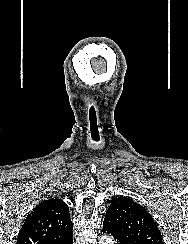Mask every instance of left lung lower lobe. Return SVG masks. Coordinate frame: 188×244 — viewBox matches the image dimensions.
<instances>
[{
	"instance_id": "0a47b994",
	"label": "left lung lower lobe",
	"mask_w": 188,
	"mask_h": 244,
	"mask_svg": "<svg viewBox=\"0 0 188 244\" xmlns=\"http://www.w3.org/2000/svg\"><path fill=\"white\" fill-rule=\"evenodd\" d=\"M103 233L111 234L114 237L116 244H125L117 233V229L109 215L105 216L103 222Z\"/></svg>"
}]
</instances>
